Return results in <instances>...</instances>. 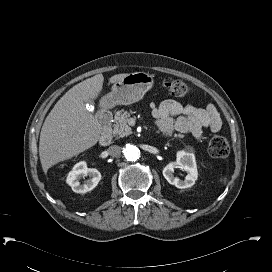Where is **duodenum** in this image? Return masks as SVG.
Returning a JSON list of instances; mask_svg holds the SVG:
<instances>
[{"instance_id": "duodenum-1", "label": "duodenum", "mask_w": 272, "mask_h": 272, "mask_svg": "<svg viewBox=\"0 0 272 272\" xmlns=\"http://www.w3.org/2000/svg\"><path fill=\"white\" fill-rule=\"evenodd\" d=\"M112 114L108 110H101L97 115V123L101 129L100 144L103 146L112 143V129H111Z\"/></svg>"}]
</instances>
